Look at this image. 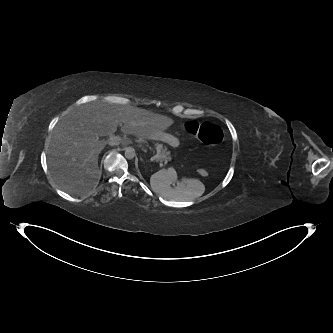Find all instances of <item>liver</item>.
Here are the masks:
<instances>
[{"mask_svg":"<svg viewBox=\"0 0 333 333\" xmlns=\"http://www.w3.org/2000/svg\"><path fill=\"white\" fill-rule=\"evenodd\" d=\"M173 119L129 104L96 100L79 105L55 126L48 148V166L55 183L64 191L81 194L94 189L100 179L98 156L117 127L124 135L162 140ZM119 144L131 142L126 136Z\"/></svg>","mask_w":333,"mask_h":333,"instance_id":"liver-1","label":"liver"}]
</instances>
